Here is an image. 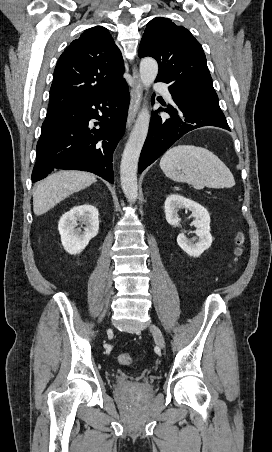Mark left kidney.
<instances>
[{
    "mask_svg": "<svg viewBox=\"0 0 272 452\" xmlns=\"http://www.w3.org/2000/svg\"><path fill=\"white\" fill-rule=\"evenodd\" d=\"M165 216L170 225H178L180 218L178 211L180 209H188L192 216L195 217L193 225L196 227L195 234L197 238L188 239L184 233L177 236V243L181 249L189 256L199 257L212 244V236L210 234V215L202 205L185 198L179 194H171L165 200ZM195 242V243H194Z\"/></svg>",
    "mask_w": 272,
    "mask_h": 452,
    "instance_id": "obj_1",
    "label": "left kidney"
}]
</instances>
